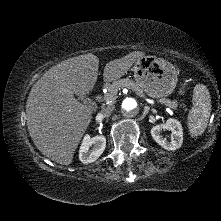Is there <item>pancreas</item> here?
<instances>
[{
	"label": "pancreas",
	"mask_w": 221,
	"mask_h": 221,
	"mask_svg": "<svg viewBox=\"0 0 221 221\" xmlns=\"http://www.w3.org/2000/svg\"><path fill=\"white\" fill-rule=\"evenodd\" d=\"M121 87H128L136 91L137 94L142 95L143 90L138 86V84L130 79H121L114 82L111 85L107 86L108 92L104 95V99L109 101L110 103H114L116 99V94ZM165 102V105L172 108L177 109L178 104L175 101H171L169 99L163 98L161 99Z\"/></svg>",
	"instance_id": "pancreas-1"
}]
</instances>
